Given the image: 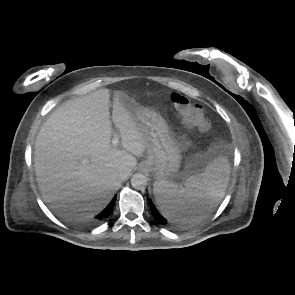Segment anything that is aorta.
<instances>
[{"label": "aorta", "instance_id": "762f6f07", "mask_svg": "<svg viewBox=\"0 0 295 295\" xmlns=\"http://www.w3.org/2000/svg\"><path fill=\"white\" fill-rule=\"evenodd\" d=\"M131 185L137 190H142L147 186V177L142 173H136L131 178Z\"/></svg>", "mask_w": 295, "mask_h": 295}]
</instances>
